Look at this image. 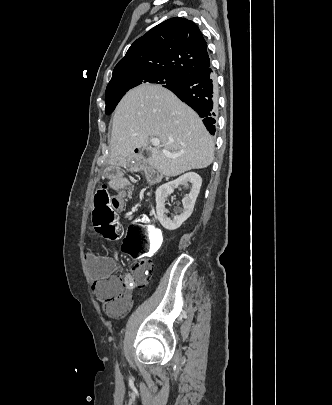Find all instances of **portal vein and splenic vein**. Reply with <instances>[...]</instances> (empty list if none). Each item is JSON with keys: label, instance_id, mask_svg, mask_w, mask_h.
<instances>
[{"label": "portal vein and splenic vein", "instance_id": "obj_1", "mask_svg": "<svg viewBox=\"0 0 332 405\" xmlns=\"http://www.w3.org/2000/svg\"><path fill=\"white\" fill-rule=\"evenodd\" d=\"M150 142L152 143L153 146L155 147H161L160 145V140L158 138H151ZM162 152L168 156V157H173L174 155H172L168 150L162 148Z\"/></svg>", "mask_w": 332, "mask_h": 405}]
</instances>
